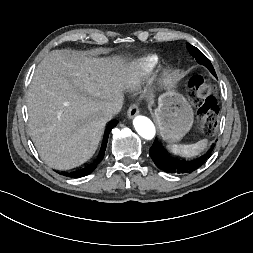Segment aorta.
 I'll use <instances>...</instances> for the list:
<instances>
[{
    "label": "aorta",
    "instance_id": "obj_1",
    "mask_svg": "<svg viewBox=\"0 0 253 253\" xmlns=\"http://www.w3.org/2000/svg\"><path fill=\"white\" fill-rule=\"evenodd\" d=\"M133 125L137 133L145 140H153L156 136V128L153 122L145 116H136Z\"/></svg>",
    "mask_w": 253,
    "mask_h": 253
}]
</instances>
